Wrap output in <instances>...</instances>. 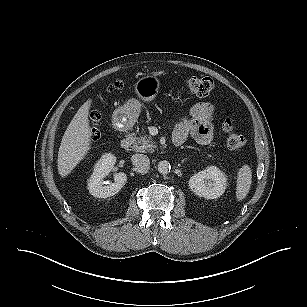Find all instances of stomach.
Instances as JSON below:
<instances>
[{"label": "stomach", "mask_w": 307, "mask_h": 307, "mask_svg": "<svg viewBox=\"0 0 307 307\" xmlns=\"http://www.w3.org/2000/svg\"><path fill=\"white\" fill-rule=\"evenodd\" d=\"M134 89L139 100L130 98L112 115V123L117 130H126L135 124L141 112L140 100L144 102L154 100L159 93L160 81L155 75H147L135 83Z\"/></svg>", "instance_id": "obj_1"}]
</instances>
